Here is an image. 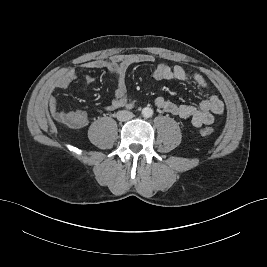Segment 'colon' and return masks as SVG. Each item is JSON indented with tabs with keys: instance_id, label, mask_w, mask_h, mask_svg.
Instances as JSON below:
<instances>
[{
	"instance_id": "obj_1",
	"label": "colon",
	"mask_w": 267,
	"mask_h": 267,
	"mask_svg": "<svg viewBox=\"0 0 267 267\" xmlns=\"http://www.w3.org/2000/svg\"><path fill=\"white\" fill-rule=\"evenodd\" d=\"M62 121L70 124L71 126H76V118L71 115L70 112H64L63 116L60 118ZM200 134L203 136H209L213 134V129L210 127H204L200 130Z\"/></svg>"
}]
</instances>
